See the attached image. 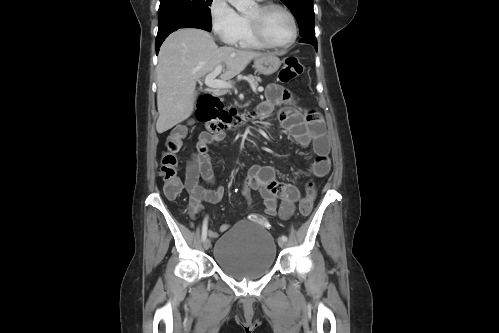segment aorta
<instances>
[{"mask_svg":"<svg viewBox=\"0 0 499 333\" xmlns=\"http://www.w3.org/2000/svg\"><path fill=\"white\" fill-rule=\"evenodd\" d=\"M239 12L248 11L254 3V0H227Z\"/></svg>","mask_w":499,"mask_h":333,"instance_id":"1","label":"aorta"}]
</instances>
